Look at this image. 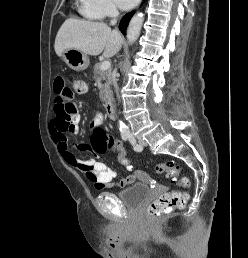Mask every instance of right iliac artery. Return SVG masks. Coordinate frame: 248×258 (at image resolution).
<instances>
[{"label": "right iliac artery", "instance_id": "obj_1", "mask_svg": "<svg viewBox=\"0 0 248 258\" xmlns=\"http://www.w3.org/2000/svg\"><path fill=\"white\" fill-rule=\"evenodd\" d=\"M129 136H130L129 134L123 133L122 134V139L127 140V139H129Z\"/></svg>", "mask_w": 248, "mask_h": 258}]
</instances>
